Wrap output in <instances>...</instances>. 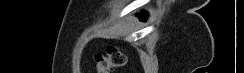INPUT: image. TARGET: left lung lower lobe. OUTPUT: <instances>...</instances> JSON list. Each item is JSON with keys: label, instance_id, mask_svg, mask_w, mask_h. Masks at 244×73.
I'll return each mask as SVG.
<instances>
[{"label": "left lung lower lobe", "instance_id": "0a47b994", "mask_svg": "<svg viewBox=\"0 0 244 73\" xmlns=\"http://www.w3.org/2000/svg\"><path fill=\"white\" fill-rule=\"evenodd\" d=\"M145 17H146V14L145 13H141V18L145 19Z\"/></svg>", "mask_w": 244, "mask_h": 73}]
</instances>
